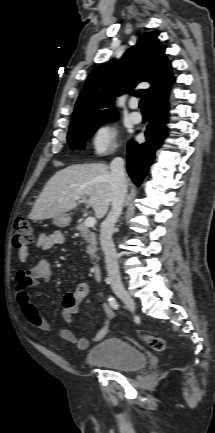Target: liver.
<instances>
[{"label": "liver", "instance_id": "obj_1", "mask_svg": "<svg viewBox=\"0 0 215 433\" xmlns=\"http://www.w3.org/2000/svg\"><path fill=\"white\" fill-rule=\"evenodd\" d=\"M76 196H88V205L95 216L104 217L112 197L109 167L103 163H84L58 171L44 186L29 219L44 220L64 214L76 207Z\"/></svg>", "mask_w": 215, "mask_h": 433}]
</instances>
